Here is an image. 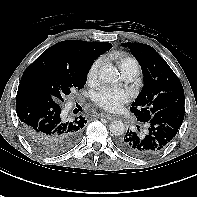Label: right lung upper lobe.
I'll return each mask as SVG.
<instances>
[{"label":"right lung upper lobe","mask_w":197,"mask_h":197,"mask_svg":"<svg viewBox=\"0 0 197 197\" xmlns=\"http://www.w3.org/2000/svg\"><path fill=\"white\" fill-rule=\"evenodd\" d=\"M111 48L112 44L106 42L66 40L49 47L39 58L71 70H81L91 67L96 58Z\"/></svg>","instance_id":"1"}]
</instances>
